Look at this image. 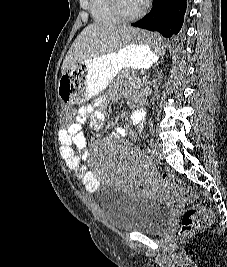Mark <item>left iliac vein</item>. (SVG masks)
I'll list each match as a JSON object with an SVG mask.
<instances>
[{
    "label": "left iliac vein",
    "mask_w": 227,
    "mask_h": 267,
    "mask_svg": "<svg viewBox=\"0 0 227 267\" xmlns=\"http://www.w3.org/2000/svg\"><path fill=\"white\" fill-rule=\"evenodd\" d=\"M153 156L159 160L163 159L162 148L159 143H155L153 146Z\"/></svg>",
    "instance_id": "obj_1"
}]
</instances>
